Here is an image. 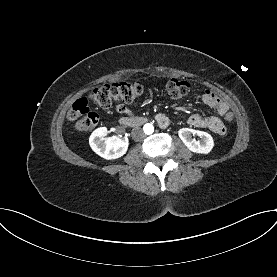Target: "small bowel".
<instances>
[{
    "instance_id": "obj_1",
    "label": "small bowel",
    "mask_w": 277,
    "mask_h": 277,
    "mask_svg": "<svg viewBox=\"0 0 277 277\" xmlns=\"http://www.w3.org/2000/svg\"><path fill=\"white\" fill-rule=\"evenodd\" d=\"M202 101L216 112L217 117H202L193 114L189 117L188 123L193 127L208 129L215 134L223 135L226 128L221 118L226 112H230L227 103L209 90L202 94ZM116 111L120 114H130L129 109L124 104H118ZM157 119L163 126L168 124V118L165 114H158Z\"/></svg>"
}]
</instances>
